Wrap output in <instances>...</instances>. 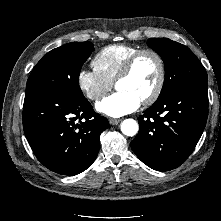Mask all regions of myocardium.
Returning a JSON list of instances; mask_svg holds the SVG:
<instances>
[{
  "mask_svg": "<svg viewBox=\"0 0 221 221\" xmlns=\"http://www.w3.org/2000/svg\"><path fill=\"white\" fill-rule=\"evenodd\" d=\"M144 55L153 56L157 62V65H158L157 83H156L153 91L151 92V94L142 101V103L144 105H151V104L155 103L158 100V98L160 97V95L163 91L165 79H166L165 61H164L163 57L161 56V54L158 53L157 51H155L154 49L144 48V49H140V50L136 51L135 53H133L126 60L124 66L122 67L121 71L119 72V74L115 80V86L118 84V82L129 77L132 74L136 63Z\"/></svg>",
  "mask_w": 221,
  "mask_h": 221,
  "instance_id": "f54148a6",
  "label": "myocardium"
}]
</instances>
